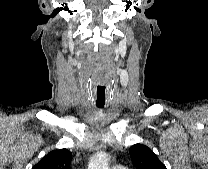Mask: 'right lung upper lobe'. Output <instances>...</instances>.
Wrapping results in <instances>:
<instances>
[{"instance_id": "cb5924a9", "label": "right lung upper lobe", "mask_w": 208, "mask_h": 169, "mask_svg": "<svg viewBox=\"0 0 208 169\" xmlns=\"http://www.w3.org/2000/svg\"><path fill=\"white\" fill-rule=\"evenodd\" d=\"M72 153L68 149L53 150L46 154L32 169H70Z\"/></svg>"}]
</instances>
